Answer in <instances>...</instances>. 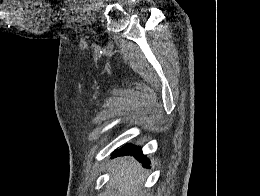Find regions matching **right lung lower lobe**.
Wrapping results in <instances>:
<instances>
[{"label": "right lung lower lobe", "mask_w": 260, "mask_h": 196, "mask_svg": "<svg viewBox=\"0 0 260 196\" xmlns=\"http://www.w3.org/2000/svg\"><path fill=\"white\" fill-rule=\"evenodd\" d=\"M120 155H133L135 156L139 161L143 162L144 165H149V160L146 158L145 155L142 154V151L137 146L132 145H125L119 150L115 152L113 157L120 156Z\"/></svg>", "instance_id": "obj_1"}]
</instances>
